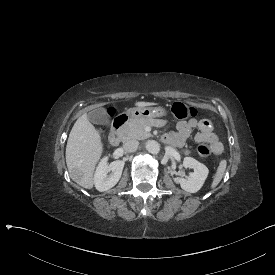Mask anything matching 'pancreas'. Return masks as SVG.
<instances>
[{"instance_id":"1","label":"pancreas","mask_w":275,"mask_h":275,"mask_svg":"<svg viewBox=\"0 0 275 275\" xmlns=\"http://www.w3.org/2000/svg\"><path fill=\"white\" fill-rule=\"evenodd\" d=\"M146 126L151 127H170L167 124V121L164 119H146V120H130L127 124L122 127L120 133L123 135L124 140L128 139H137L144 140L151 137V134L145 131ZM182 152L185 155L191 153V151L187 148L182 149Z\"/></svg>"}]
</instances>
